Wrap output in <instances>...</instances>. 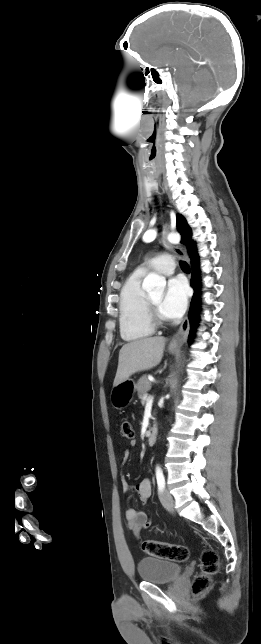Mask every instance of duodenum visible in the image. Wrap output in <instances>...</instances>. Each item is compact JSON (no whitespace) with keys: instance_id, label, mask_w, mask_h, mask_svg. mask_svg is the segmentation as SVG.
<instances>
[{"instance_id":"410a0bca","label":"duodenum","mask_w":261,"mask_h":644,"mask_svg":"<svg viewBox=\"0 0 261 644\" xmlns=\"http://www.w3.org/2000/svg\"><path fill=\"white\" fill-rule=\"evenodd\" d=\"M157 436H158V428L153 427L147 435V444L150 446L154 445L157 440Z\"/></svg>"}]
</instances>
